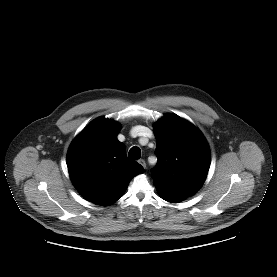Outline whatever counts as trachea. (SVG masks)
Wrapping results in <instances>:
<instances>
[{"label": "trachea", "mask_w": 277, "mask_h": 277, "mask_svg": "<svg viewBox=\"0 0 277 277\" xmlns=\"http://www.w3.org/2000/svg\"><path fill=\"white\" fill-rule=\"evenodd\" d=\"M128 157L133 159V160L139 159L141 157V150H140V148L139 147H132L129 150Z\"/></svg>", "instance_id": "obj_1"}]
</instances>
